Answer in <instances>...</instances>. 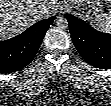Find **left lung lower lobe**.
<instances>
[{
	"mask_svg": "<svg viewBox=\"0 0 111 106\" xmlns=\"http://www.w3.org/2000/svg\"><path fill=\"white\" fill-rule=\"evenodd\" d=\"M75 47L83 59L100 69H111V34L95 30L85 21L65 14Z\"/></svg>",
	"mask_w": 111,
	"mask_h": 106,
	"instance_id": "0a47b994",
	"label": "left lung lower lobe"
}]
</instances>
